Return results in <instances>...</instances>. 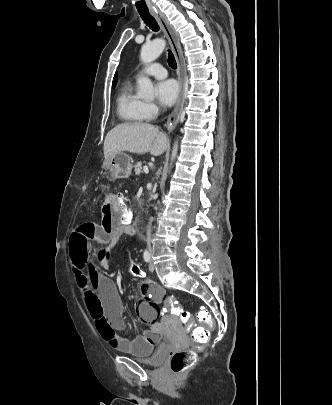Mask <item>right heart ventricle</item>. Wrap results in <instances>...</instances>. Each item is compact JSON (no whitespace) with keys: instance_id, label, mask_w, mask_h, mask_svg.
<instances>
[{"instance_id":"1","label":"right heart ventricle","mask_w":332,"mask_h":405,"mask_svg":"<svg viewBox=\"0 0 332 405\" xmlns=\"http://www.w3.org/2000/svg\"><path fill=\"white\" fill-rule=\"evenodd\" d=\"M116 105L118 116L125 123L138 124L148 119L145 112V103L134 94L130 82L124 84L121 88Z\"/></svg>"}]
</instances>
